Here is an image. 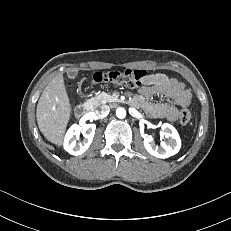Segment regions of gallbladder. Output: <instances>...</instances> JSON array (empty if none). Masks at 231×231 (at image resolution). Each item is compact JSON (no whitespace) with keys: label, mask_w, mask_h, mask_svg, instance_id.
I'll use <instances>...</instances> for the list:
<instances>
[{"label":"gallbladder","mask_w":231,"mask_h":231,"mask_svg":"<svg viewBox=\"0 0 231 231\" xmlns=\"http://www.w3.org/2000/svg\"><path fill=\"white\" fill-rule=\"evenodd\" d=\"M78 75V72L77 71H70L68 72V78L70 79H75Z\"/></svg>","instance_id":"obj_1"}]
</instances>
